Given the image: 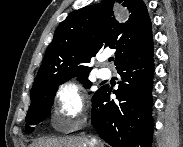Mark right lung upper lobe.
<instances>
[{"instance_id":"cb5924a9","label":"right lung upper lobe","mask_w":183,"mask_h":147,"mask_svg":"<svg viewBox=\"0 0 183 147\" xmlns=\"http://www.w3.org/2000/svg\"><path fill=\"white\" fill-rule=\"evenodd\" d=\"M114 1L128 8L126 22L116 20ZM106 47L117 50L116 66L153 52L151 21L143 0H104L70 13L55 31L31 91L57 79L89 74L92 58Z\"/></svg>"}]
</instances>
